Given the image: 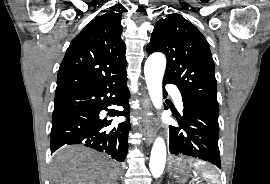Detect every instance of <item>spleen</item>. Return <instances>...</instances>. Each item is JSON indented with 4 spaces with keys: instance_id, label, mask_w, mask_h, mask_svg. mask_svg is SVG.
<instances>
[{
    "instance_id": "1",
    "label": "spleen",
    "mask_w": 270,
    "mask_h": 184,
    "mask_svg": "<svg viewBox=\"0 0 270 184\" xmlns=\"http://www.w3.org/2000/svg\"><path fill=\"white\" fill-rule=\"evenodd\" d=\"M193 166L199 171V173L209 181L208 184H220V180L217 174L213 172L211 168L206 166L203 161H197Z\"/></svg>"
}]
</instances>
